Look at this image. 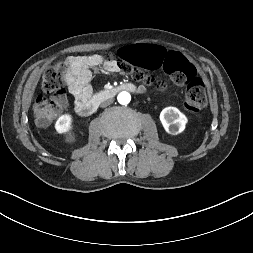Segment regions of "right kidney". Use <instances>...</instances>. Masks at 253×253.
Here are the masks:
<instances>
[{"label": "right kidney", "mask_w": 253, "mask_h": 253, "mask_svg": "<svg viewBox=\"0 0 253 253\" xmlns=\"http://www.w3.org/2000/svg\"><path fill=\"white\" fill-rule=\"evenodd\" d=\"M72 116L69 114H64L58 118L55 123V129L60 134H66L70 137V131L72 129Z\"/></svg>", "instance_id": "1"}]
</instances>
